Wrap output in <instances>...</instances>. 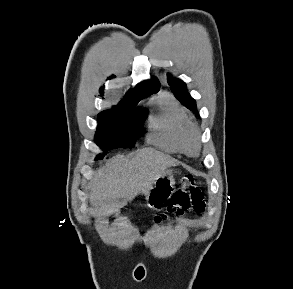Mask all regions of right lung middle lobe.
Returning <instances> with one entry per match:
<instances>
[{"instance_id": "1", "label": "right lung middle lobe", "mask_w": 293, "mask_h": 289, "mask_svg": "<svg viewBox=\"0 0 293 289\" xmlns=\"http://www.w3.org/2000/svg\"><path fill=\"white\" fill-rule=\"evenodd\" d=\"M139 101L121 103L112 110L98 115L95 142L106 151L119 147H133L135 140L143 133L142 125L147 110L134 111ZM98 156L96 160L100 159Z\"/></svg>"}]
</instances>
